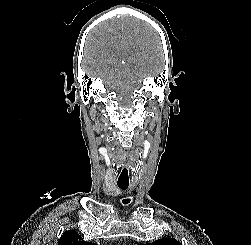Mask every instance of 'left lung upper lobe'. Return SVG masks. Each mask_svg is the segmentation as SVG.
I'll use <instances>...</instances> for the list:
<instances>
[{"mask_svg": "<svg viewBox=\"0 0 251 245\" xmlns=\"http://www.w3.org/2000/svg\"><path fill=\"white\" fill-rule=\"evenodd\" d=\"M140 245H182V244L174 238H163L153 243L140 244Z\"/></svg>", "mask_w": 251, "mask_h": 245, "instance_id": "left-lung-upper-lobe-1", "label": "left lung upper lobe"}]
</instances>
